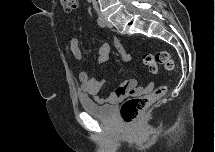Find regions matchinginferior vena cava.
<instances>
[{
  "instance_id": "inferior-vena-cava-1",
  "label": "inferior vena cava",
  "mask_w": 215,
  "mask_h": 152,
  "mask_svg": "<svg viewBox=\"0 0 215 152\" xmlns=\"http://www.w3.org/2000/svg\"><path fill=\"white\" fill-rule=\"evenodd\" d=\"M93 5H94L95 8L97 7V2H96V0H93Z\"/></svg>"
}]
</instances>
